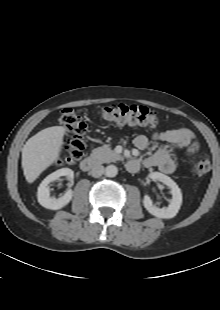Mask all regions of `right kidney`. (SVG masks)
<instances>
[{
    "label": "right kidney",
    "mask_w": 220,
    "mask_h": 310,
    "mask_svg": "<svg viewBox=\"0 0 220 310\" xmlns=\"http://www.w3.org/2000/svg\"><path fill=\"white\" fill-rule=\"evenodd\" d=\"M61 176H66L68 180L73 182L74 172L69 168L59 169L48 175L39 185L37 199L40 205L47 209L58 210L66 206L72 199L73 193L69 189L62 197L56 199L50 197L49 184Z\"/></svg>",
    "instance_id": "1"
}]
</instances>
